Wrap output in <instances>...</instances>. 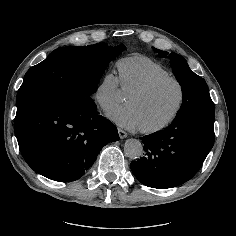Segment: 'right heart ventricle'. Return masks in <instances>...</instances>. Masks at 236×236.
<instances>
[{
	"label": "right heart ventricle",
	"instance_id": "e07e8e85",
	"mask_svg": "<svg viewBox=\"0 0 236 236\" xmlns=\"http://www.w3.org/2000/svg\"><path fill=\"white\" fill-rule=\"evenodd\" d=\"M117 67L121 88L125 92L139 89L155 79L172 76L163 65L143 55L122 58Z\"/></svg>",
	"mask_w": 236,
	"mask_h": 236
}]
</instances>
